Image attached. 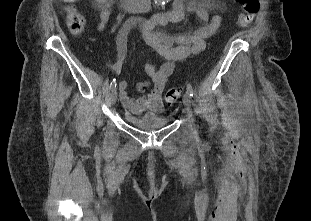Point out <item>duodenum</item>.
Returning a JSON list of instances; mask_svg holds the SVG:
<instances>
[{
  "label": "duodenum",
  "mask_w": 311,
  "mask_h": 221,
  "mask_svg": "<svg viewBox=\"0 0 311 221\" xmlns=\"http://www.w3.org/2000/svg\"><path fill=\"white\" fill-rule=\"evenodd\" d=\"M120 8L127 11H142L150 8L152 0H118ZM145 23L143 21L133 22L132 27H141Z\"/></svg>",
  "instance_id": "obj_1"
}]
</instances>
